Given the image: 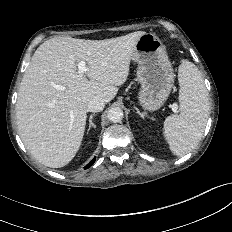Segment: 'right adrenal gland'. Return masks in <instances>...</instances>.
<instances>
[{
    "label": "right adrenal gland",
    "instance_id": "right-adrenal-gland-1",
    "mask_svg": "<svg viewBox=\"0 0 232 232\" xmlns=\"http://www.w3.org/2000/svg\"><path fill=\"white\" fill-rule=\"evenodd\" d=\"M95 116V114H91L89 117V127H88V132L90 131L91 128H95L96 126L94 125L92 119Z\"/></svg>",
    "mask_w": 232,
    "mask_h": 232
}]
</instances>
